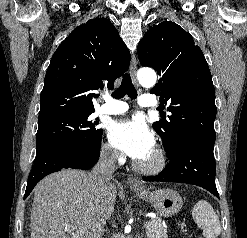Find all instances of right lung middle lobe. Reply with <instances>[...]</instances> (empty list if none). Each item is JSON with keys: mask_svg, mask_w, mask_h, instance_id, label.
I'll list each match as a JSON object with an SVG mask.
<instances>
[{"mask_svg": "<svg viewBox=\"0 0 247 238\" xmlns=\"http://www.w3.org/2000/svg\"><path fill=\"white\" fill-rule=\"evenodd\" d=\"M91 114L60 116L39 122L36 156L58 146H94L102 136L103 130L95 128L98 122L89 118Z\"/></svg>", "mask_w": 247, "mask_h": 238, "instance_id": "right-lung-middle-lobe-1", "label": "right lung middle lobe"}]
</instances>
